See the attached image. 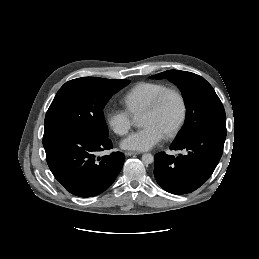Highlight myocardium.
Here are the masks:
<instances>
[{
  "label": "myocardium",
  "mask_w": 259,
  "mask_h": 259,
  "mask_svg": "<svg viewBox=\"0 0 259 259\" xmlns=\"http://www.w3.org/2000/svg\"><path fill=\"white\" fill-rule=\"evenodd\" d=\"M169 95H174L180 105V113H179V118L175 124V126L169 130L167 133L164 134L166 138H171L178 134V132L182 129L185 119H186V112H187V107H186V102L184 99V96L182 93L176 89V88H167L164 91H162L156 99L153 101V103L143 112V114H153L158 112L161 107L163 106L165 100Z\"/></svg>",
  "instance_id": "myocardium-1"
}]
</instances>
